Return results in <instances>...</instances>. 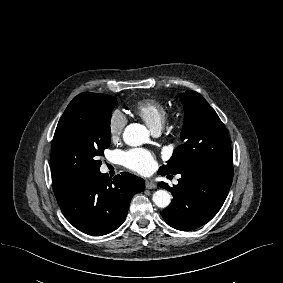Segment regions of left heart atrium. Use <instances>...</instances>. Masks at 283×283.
Instances as JSON below:
<instances>
[{
    "label": "left heart atrium",
    "instance_id": "1",
    "mask_svg": "<svg viewBox=\"0 0 283 283\" xmlns=\"http://www.w3.org/2000/svg\"><path fill=\"white\" fill-rule=\"evenodd\" d=\"M124 166L140 174H148L156 167L154 154L146 149L134 148L123 153Z\"/></svg>",
    "mask_w": 283,
    "mask_h": 283
}]
</instances>
